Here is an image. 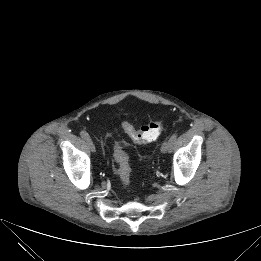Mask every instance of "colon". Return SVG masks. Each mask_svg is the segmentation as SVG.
Segmentation results:
<instances>
[{"instance_id":"obj_1","label":"colon","mask_w":261,"mask_h":261,"mask_svg":"<svg viewBox=\"0 0 261 261\" xmlns=\"http://www.w3.org/2000/svg\"><path fill=\"white\" fill-rule=\"evenodd\" d=\"M122 128L125 133L135 142L145 143L153 141L159 137L163 129V124L161 121H150L141 128L136 129L130 122L123 121ZM113 156L114 172L120 179L121 184L124 187H127L131 182V167L128 156L120 144H114Z\"/></svg>"}]
</instances>
